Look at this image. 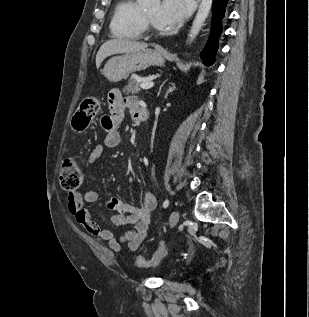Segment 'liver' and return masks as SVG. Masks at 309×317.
Listing matches in <instances>:
<instances>
[{
    "label": "liver",
    "mask_w": 309,
    "mask_h": 317,
    "mask_svg": "<svg viewBox=\"0 0 309 317\" xmlns=\"http://www.w3.org/2000/svg\"><path fill=\"white\" fill-rule=\"evenodd\" d=\"M147 47L148 44L144 42H137L128 39H111L106 41L97 52L96 67L98 69L103 60L108 56L145 50Z\"/></svg>",
    "instance_id": "6515ba94"
}]
</instances>
